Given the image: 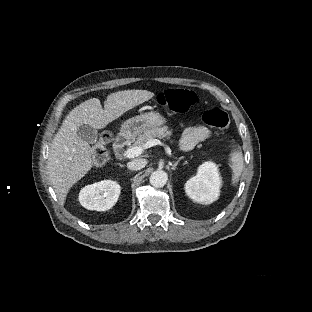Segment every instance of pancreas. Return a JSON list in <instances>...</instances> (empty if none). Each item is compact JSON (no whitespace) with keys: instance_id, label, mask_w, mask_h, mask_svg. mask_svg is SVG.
<instances>
[{"instance_id":"pancreas-1","label":"pancreas","mask_w":312,"mask_h":312,"mask_svg":"<svg viewBox=\"0 0 312 312\" xmlns=\"http://www.w3.org/2000/svg\"><path fill=\"white\" fill-rule=\"evenodd\" d=\"M172 135V132L168 130L167 126L163 127H152L150 129H147L143 132V134H140L137 138L136 141L132 144L130 147H143L144 145L150 141L153 140L155 137L158 138H164L167 137L168 139Z\"/></svg>"}]
</instances>
